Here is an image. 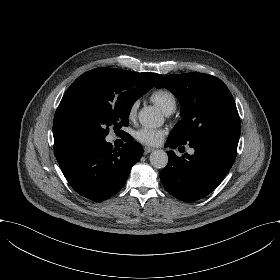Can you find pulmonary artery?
Here are the masks:
<instances>
[{"instance_id":"obj_1","label":"pulmonary artery","mask_w":280,"mask_h":280,"mask_svg":"<svg viewBox=\"0 0 280 280\" xmlns=\"http://www.w3.org/2000/svg\"><path fill=\"white\" fill-rule=\"evenodd\" d=\"M189 154H193L194 153V150L192 148H189L188 151H187Z\"/></svg>"}]
</instances>
